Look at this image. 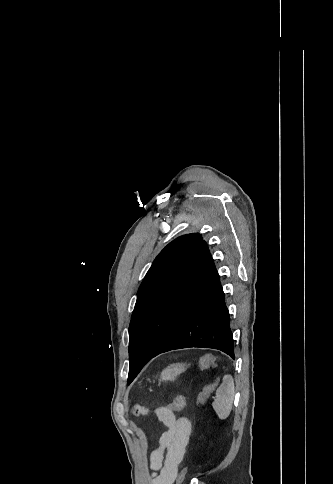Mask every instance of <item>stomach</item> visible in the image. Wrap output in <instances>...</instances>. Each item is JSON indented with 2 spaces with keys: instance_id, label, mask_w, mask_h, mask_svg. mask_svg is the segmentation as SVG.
<instances>
[{
  "instance_id": "stomach-1",
  "label": "stomach",
  "mask_w": 333,
  "mask_h": 484,
  "mask_svg": "<svg viewBox=\"0 0 333 484\" xmlns=\"http://www.w3.org/2000/svg\"><path fill=\"white\" fill-rule=\"evenodd\" d=\"M186 370V365L182 363L172 364L161 372V379L163 381H171L174 380L176 376L181 374Z\"/></svg>"
}]
</instances>
